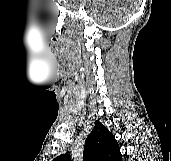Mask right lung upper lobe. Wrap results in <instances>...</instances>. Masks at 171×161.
Returning <instances> with one entry per match:
<instances>
[{
  "label": "right lung upper lobe",
  "mask_w": 171,
  "mask_h": 161,
  "mask_svg": "<svg viewBox=\"0 0 171 161\" xmlns=\"http://www.w3.org/2000/svg\"><path fill=\"white\" fill-rule=\"evenodd\" d=\"M53 161H71L69 154H62ZM83 161H122L119 145L113 134L99 121L88 135L83 152Z\"/></svg>",
  "instance_id": "1"
}]
</instances>
